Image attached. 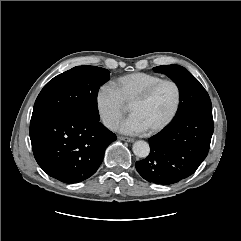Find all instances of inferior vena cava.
<instances>
[{
	"label": "inferior vena cava",
	"mask_w": 241,
	"mask_h": 241,
	"mask_svg": "<svg viewBox=\"0 0 241 241\" xmlns=\"http://www.w3.org/2000/svg\"><path fill=\"white\" fill-rule=\"evenodd\" d=\"M108 127L114 129V128L116 127V123H115L114 121H110V122L108 123Z\"/></svg>",
	"instance_id": "602c4592"
}]
</instances>
